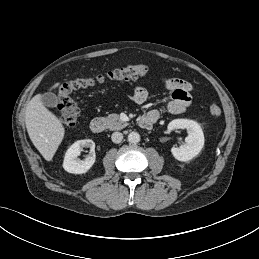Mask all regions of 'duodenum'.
Instances as JSON below:
<instances>
[{
  "mask_svg": "<svg viewBox=\"0 0 259 259\" xmlns=\"http://www.w3.org/2000/svg\"><path fill=\"white\" fill-rule=\"evenodd\" d=\"M157 119L151 116H143L139 119V126L142 128L150 127ZM105 121L100 117L93 118L90 128L94 133H101L105 130Z\"/></svg>",
  "mask_w": 259,
  "mask_h": 259,
  "instance_id": "410a0bca",
  "label": "duodenum"
}]
</instances>
